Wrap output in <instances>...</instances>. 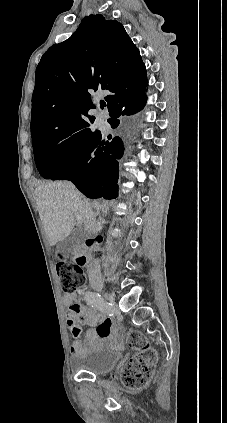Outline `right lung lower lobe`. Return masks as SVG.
Here are the masks:
<instances>
[{"label":"right lung lower lobe","instance_id":"1","mask_svg":"<svg viewBox=\"0 0 227 423\" xmlns=\"http://www.w3.org/2000/svg\"><path fill=\"white\" fill-rule=\"evenodd\" d=\"M146 101L145 94L128 96L125 100L108 107V119L112 128H116L124 115H132L141 110ZM89 150L81 157L76 170L65 180L72 181L88 198L112 199L118 191L119 159L123 156L124 146L120 137H114L110 142L96 132ZM111 139V138H109Z\"/></svg>","mask_w":227,"mask_h":423}]
</instances>
